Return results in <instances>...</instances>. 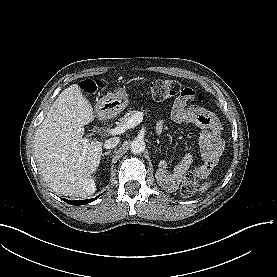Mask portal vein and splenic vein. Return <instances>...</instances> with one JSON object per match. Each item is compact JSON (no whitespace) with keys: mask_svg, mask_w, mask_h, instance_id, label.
<instances>
[{"mask_svg":"<svg viewBox=\"0 0 277 277\" xmlns=\"http://www.w3.org/2000/svg\"><path fill=\"white\" fill-rule=\"evenodd\" d=\"M143 119V113L137 112L133 116H131L126 123L122 125H117L115 128L108 129L106 131V135H118L124 133L126 130L131 129L135 127L137 124H139ZM88 139L83 138L81 142L86 143Z\"/></svg>","mask_w":277,"mask_h":277,"instance_id":"18ae733b","label":"portal vein and splenic vein"}]
</instances>
